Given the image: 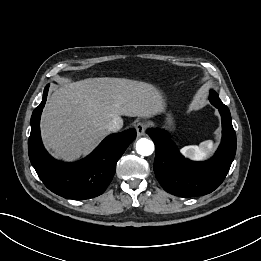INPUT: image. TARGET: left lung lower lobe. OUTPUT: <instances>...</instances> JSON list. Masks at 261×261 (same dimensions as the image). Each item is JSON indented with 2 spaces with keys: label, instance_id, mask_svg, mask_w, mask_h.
Here are the masks:
<instances>
[{
  "label": "left lung lower lobe",
  "instance_id": "0a47b994",
  "mask_svg": "<svg viewBox=\"0 0 261 261\" xmlns=\"http://www.w3.org/2000/svg\"><path fill=\"white\" fill-rule=\"evenodd\" d=\"M222 118V142L205 162L185 159L164 131L147 130L156 147L154 172L161 186L181 197L209 194L225 179L236 153V134L228 107L217 106Z\"/></svg>",
  "mask_w": 261,
  "mask_h": 261
}]
</instances>
